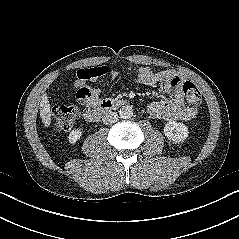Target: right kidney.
<instances>
[{
	"mask_svg": "<svg viewBox=\"0 0 239 239\" xmlns=\"http://www.w3.org/2000/svg\"><path fill=\"white\" fill-rule=\"evenodd\" d=\"M81 136H82V131H81L80 129L72 130V131L69 133L68 141H69L71 144H75V143L80 139Z\"/></svg>",
	"mask_w": 239,
	"mask_h": 239,
	"instance_id": "right-kidney-1",
	"label": "right kidney"
}]
</instances>
